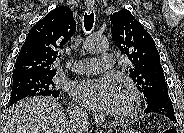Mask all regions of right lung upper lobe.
Wrapping results in <instances>:
<instances>
[{"instance_id": "1", "label": "right lung upper lobe", "mask_w": 184, "mask_h": 133, "mask_svg": "<svg viewBox=\"0 0 184 133\" xmlns=\"http://www.w3.org/2000/svg\"><path fill=\"white\" fill-rule=\"evenodd\" d=\"M76 31L73 12L56 7L29 30L16 59L13 78L24 75L54 76V61Z\"/></svg>"}]
</instances>
